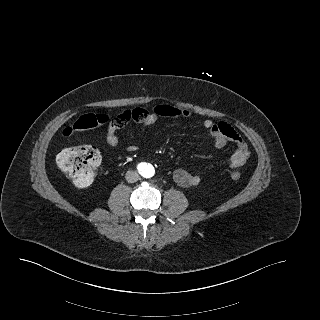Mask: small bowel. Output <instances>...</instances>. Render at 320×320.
Here are the masks:
<instances>
[{
  "instance_id": "obj_1",
  "label": "small bowel",
  "mask_w": 320,
  "mask_h": 320,
  "mask_svg": "<svg viewBox=\"0 0 320 320\" xmlns=\"http://www.w3.org/2000/svg\"><path fill=\"white\" fill-rule=\"evenodd\" d=\"M191 117V112L187 109H179L168 104L156 105L152 111L144 108H134L126 110L120 115L114 117L110 121L107 132L106 141L111 147L119 145L117 132L130 123H136L140 129H146L153 125L161 118H182L188 119ZM203 126L206 128L213 140L216 149H222L228 142L236 144V149L231 155L228 166L231 169H236L245 164L249 157V149L237 132L225 122H213L209 119L203 121ZM136 145H129V152H136ZM174 181L181 187H195L201 182V177L191 173L185 169L178 168L173 172Z\"/></svg>"
}]
</instances>
